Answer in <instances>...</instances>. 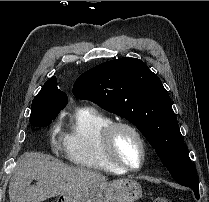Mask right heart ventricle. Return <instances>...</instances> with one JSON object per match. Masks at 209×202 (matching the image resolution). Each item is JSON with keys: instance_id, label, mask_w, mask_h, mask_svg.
I'll return each mask as SVG.
<instances>
[{"instance_id": "e07e8e85", "label": "right heart ventricle", "mask_w": 209, "mask_h": 202, "mask_svg": "<svg viewBox=\"0 0 209 202\" xmlns=\"http://www.w3.org/2000/svg\"><path fill=\"white\" fill-rule=\"evenodd\" d=\"M112 119L92 108L79 110L64 134L63 156L77 166L116 174L126 171L112 165L101 149V139Z\"/></svg>"}]
</instances>
